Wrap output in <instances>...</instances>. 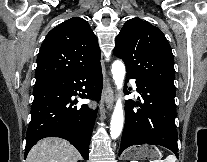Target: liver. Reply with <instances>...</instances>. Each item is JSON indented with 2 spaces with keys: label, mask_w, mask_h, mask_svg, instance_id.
<instances>
[{
  "label": "liver",
  "mask_w": 207,
  "mask_h": 162,
  "mask_svg": "<svg viewBox=\"0 0 207 162\" xmlns=\"http://www.w3.org/2000/svg\"><path fill=\"white\" fill-rule=\"evenodd\" d=\"M80 159L79 152L68 141L48 137L31 148L26 162H77Z\"/></svg>",
  "instance_id": "liver-1"
}]
</instances>
